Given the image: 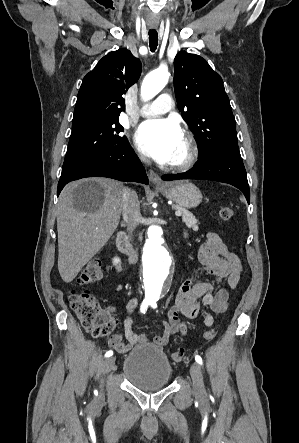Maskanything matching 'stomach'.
Segmentation results:
<instances>
[{
	"instance_id": "obj_1",
	"label": "stomach",
	"mask_w": 299,
	"mask_h": 443,
	"mask_svg": "<svg viewBox=\"0 0 299 443\" xmlns=\"http://www.w3.org/2000/svg\"><path fill=\"white\" fill-rule=\"evenodd\" d=\"M158 189L166 198L183 208H195L202 202L200 190L189 182H171Z\"/></svg>"
}]
</instances>
